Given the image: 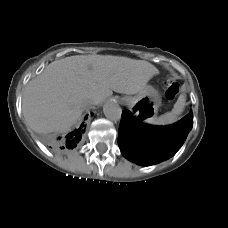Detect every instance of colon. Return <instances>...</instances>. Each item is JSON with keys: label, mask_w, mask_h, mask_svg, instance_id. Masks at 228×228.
Here are the masks:
<instances>
[{"label": "colon", "mask_w": 228, "mask_h": 228, "mask_svg": "<svg viewBox=\"0 0 228 228\" xmlns=\"http://www.w3.org/2000/svg\"><path fill=\"white\" fill-rule=\"evenodd\" d=\"M179 93V86L172 79H167L165 96L168 100H173Z\"/></svg>", "instance_id": "obj_1"}]
</instances>
